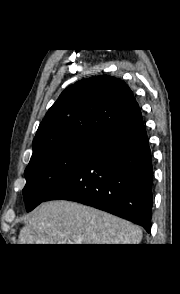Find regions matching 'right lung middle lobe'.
<instances>
[{
    "label": "right lung middle lobe",
    "mask_w": 180,
    "mask_h": 294,
    "mask_svg": "<svg viewBox=\"0 0 180 294\" xmlns=\"http://www.w3.org/2000/svg\"><path fill=\"white\" fill-rule=\"evenodd\" d=\"M98 141L74 139L44 148L32 155L25 170L26 210L31 211L80 166Z\"/></svg>",
    "instance_id": "dd1d6c3e"
}]
</instances>
